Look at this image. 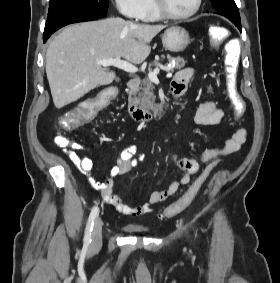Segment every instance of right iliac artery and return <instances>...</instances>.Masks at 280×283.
Returning <instances> with one entry per match:
<instances>
[{"label": "right iliac artery", "instance_id": "obj_1", "mask_svg": "<svg viewBox=\"0 0 280 283\" xmlns=\"http://www.w3.org/2000/svg\"><path fill=\"white\" fill-rule=\"evenodd\" d=\"M98 215V207L95 206L92 208L91 213L89 215V219L86 225L85 229V236H84V242L89 244L91 242V233L93 230L94 220L96 216Z\"/></svg>", "mask_w": 280, "mask_h": 283}]
</instances>
